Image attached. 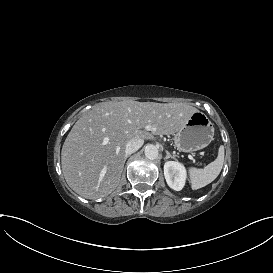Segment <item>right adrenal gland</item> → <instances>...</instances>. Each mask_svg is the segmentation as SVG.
<instances>
[{"instance_id":"right-adrenal-gland-1","label":"right adrenal gland","mask_w":273,"mask_h":273,"mask_svg":"<svg viewBox=\"0 0 273 273\" xmlns=\"http://www.w3.org/2000/svg\"><path fill=\"white\" fill-rule=\"evenodd\" d=\"M130 156H131L130 154H126V155H125L124 163H125V161L127 160V158L130 157Z\"/></svg>"}]
</instances>
